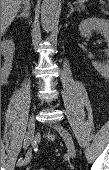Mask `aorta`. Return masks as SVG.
<instances>
[{
    "mask_svg": "<svg viewBox=\"0 0 109 170\" xmlns=\"http://www.w3.org/2000/svg\"><path fill=\"white\" fill-rule=\"evenodd\" d=\"M58 13V0H42L41 5V23L46 33L53 30Z\"/></svg>",
    "mask_w": 109,
    "mask_h": 170,
    "instance_id": "762f6f07",
    "label": "aorta"
}]
</instances>
